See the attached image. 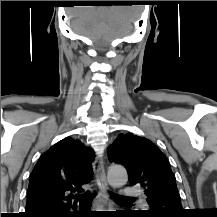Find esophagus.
Masks as SVG:
<instances>
[{
	"instance_id": "obj_1",
	"label": "esophagus",
	"mask_w": 217,
	"mask_h": 217,
	"mask_svg": "<svg viewBox=\"0 0 217 217\" xmlns=\"http://www.w3.org/2000/svg\"><path fill=\"white\" fill-rule=\"evenodd\" d=\"M93 171L99 188L98 198L105 208H110L112 203L109 199L108 183L106 179L104 159L102 157H97L95 159L93 163Z\"/></svg>"
}]
</instances>
